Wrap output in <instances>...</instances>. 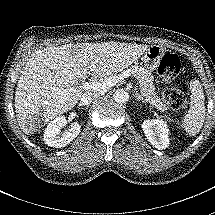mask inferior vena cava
Segmentation results:
<instances>
[{
	"label": "inferior vena cava",
	"instance_id": "1",
	"mask_svg": "<svg viewBox=\"0 0 215 215\" xmlns=\"http://www.w3.org/2000/svg\"><path fill=\"white\" fill-rule=\"evenodd\" d=\"M106 90L104 91H96V92H84L81 99H80V103L82 105H88L90 104L94 98L100 96L101 94H103Z\"/></svg>",
	"mask_w": 215,
	"mask_h": 215
}]
</instances>
